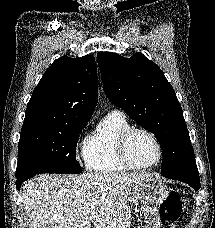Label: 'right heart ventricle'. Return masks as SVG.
Returning <instances> with one entry per match:
<instances>
[{
	"mask_svg": "<svg viewBox=\"0 0 215 228\" xmlns=\"http://www.w3.org/2000/svg\"><path fill=\"white\" fill-rule=\"evenodd\" d=\"M130 127L123 112L115 110L106 114L98 128L83 142L82 155L86 167L102 174L127 171L118 158L116 144L119 136Z\"/></svg>",
	"mask_w": 215,
	"mask_h": 228,
	"instance_id": "1",
	"label": "right heart ventricle"
}]
</instances>
